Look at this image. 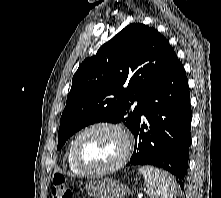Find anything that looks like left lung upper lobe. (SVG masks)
<instances>
[{
	"mask_svg": "<svg viewBox=\"0 0 221 198\" xmlns=\"http://www.w3.org/2000/svg\"><path fill=\"white\" fill-rule=\"evenodd\" d=\"M174 54L165 37L140 23L126 26L101 46L73 76L57 149L76 131L96 122H123L133 133L147 94Z\"/></svg>",
	"mask_w": 221,
	"mask_h": 198,
	"instance_id": "obj_1",
	"label": "left lung upper lobe"
}]
</instances>
